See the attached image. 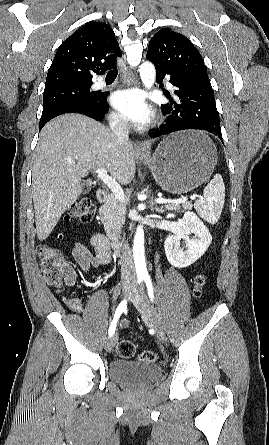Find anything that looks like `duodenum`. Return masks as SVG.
Returning <instances> with one entry per match:
<instances>
[{"label": "duodenum", "mask_w": 269, "mask_h": 445, "mask_svg": "<svg viewBox=\"0 0 269 445\" xmlns=\"http://www.w3.org/2000/svg\"><path fill=\"white\" fill-rule=\"evenodd\" d=\"M96 196L99 202H105L108 199V192L104 189H99L96 193ZM110 246L117 255L122 254L123 243L121 241L111 240Z\"/></svg>", "instance_id": "duodenum-1"}]
</instances>
